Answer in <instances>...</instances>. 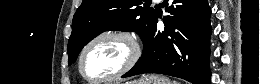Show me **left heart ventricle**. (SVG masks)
<instances>
[{"label":"left heart ventricle","instance_id":"b2bd125f","mask_svg":"<svg viewBox=\"0 0 260 84\" xmlns=\"http://www.w3.org/2000/svg\"><path fill=\"white\" fill-rule=\"evenodd\" d=\"M129 52V47L121 40L101 39L87 51L83 71L92 80L109 76L122 67Z\"/></svg>","mask_w":260,"mask_h":84}]
</instances>
